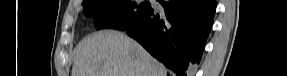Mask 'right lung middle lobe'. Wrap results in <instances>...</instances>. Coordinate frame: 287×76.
<instances>
[{
	"mask_svg": "<svg viewBox=\"0 0 287 76\" xmlns=\"http://www.w3.org/2000/svg\"><path fill=\"white\" fill-rule=\"evenodd\" d=\"M84 14L95 18V28L125 30L143 19L151 10L149 2L130 0H88Z\"/></svg>",
	"mask_w": 287,
	"mask_h": 76,
	"instance_id": "obj_1",
	"label": "right lung middle lobe"
}]
</instances>
